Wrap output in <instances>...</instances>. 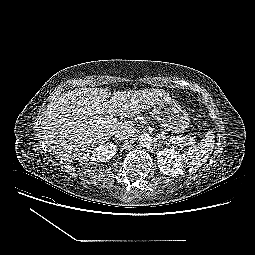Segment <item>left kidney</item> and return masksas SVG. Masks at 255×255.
<instances>
[{"label": "left kidney", "instance_id": "left-kidney-1", "mask_svg": "<svg viewBox=\"0 0 255 255\" xmlns=\"http://www.w3.org/2000/svg\"><path fill=\"white\" fill-rule=\"evenodd\" d=\"M158 167L168 176L183 174V157L174 149H164L157 153Z\"/></svg>", "mask_w": 255, "mask_h": 255}]
</instances>
